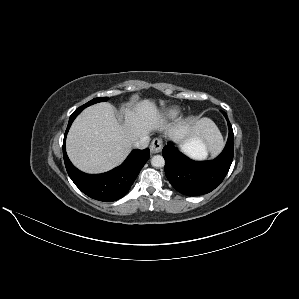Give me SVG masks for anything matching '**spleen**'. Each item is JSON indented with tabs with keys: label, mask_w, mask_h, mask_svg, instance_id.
I'll return each mask as SVG.
<instances>
[{
	"label": "spleen",
	"mask_w": 299,
	"mask_h": 299,
	"mask_svg": "<svg viewBox=\"0 0 299 299\" xmlns=\"http://www.w3.org/2000/svg\"><path fill=\"white\" fill-rule=\"evenodd\" d=\"M204 121L206 123H208V125L210 127H216L212 121H210V120H204ZM189 154L194 156L195 158L204 159L207 156V150H206L205 146H203L199 150H197L196 154H191V153H189Z\"/></svg>",
	"instance_id": "spleen-1"
}]
</instances>
